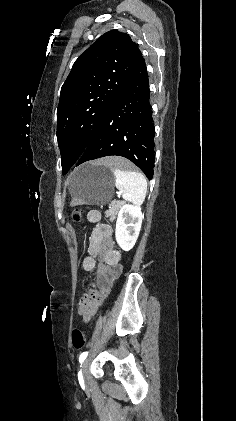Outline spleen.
Instances as JSON below:
<instances>
[{"mask_svg":"<svg viewBox=\"0 0 236 421\" xmlns=\"http://www.w3.org/2000/svg\"><path fill=\"white\" fill-rule=\"evenodd\" d=\"M109 166L114 168L116 188L120 190L123 198L136 206L142 204L147 192V180L144 174L134 170H120L119 164H109Z\"/></svg>","mask_w":236,"mask_h":421,"instance_id":"1","label":"spleen"}]
</instances>
